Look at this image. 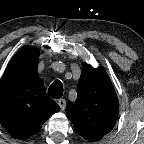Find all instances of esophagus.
<instances>
[{
	"label": "esophagus",
	"mask_w": 144,
	"mask_h": 144,
	"mask_svg": "<svg viewBox=\"0 0 144 144\" xmlns=\"http://www.w3.org/2000/svg\"><path fill=\"white\" fill-rule=\"evenodd\" d=\"M58 105L60 106L61 110H64L65 106H66V100L65 99H59Z\"/></svg>",
	"instance_id": "1"
}]
</instances>
